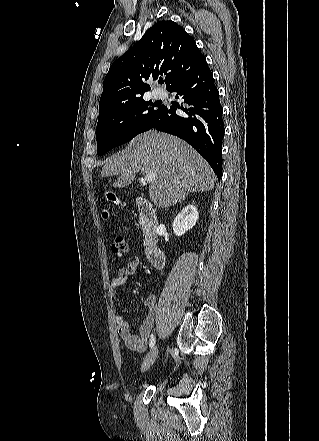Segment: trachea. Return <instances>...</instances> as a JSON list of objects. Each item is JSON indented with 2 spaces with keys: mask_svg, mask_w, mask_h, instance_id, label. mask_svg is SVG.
<instances>
[{
  "mask_svg": "<svg viewBox=\"0 0 319 441\" xmlns=\"http://www.w3.org/2000/svg\"><path fill=\"white\" fill-rule=\"evenodd\" d=\"M159 83H161V84H162V83H163V81L161 80V81H159Z\"/></svg>",
  "mask_w": 319,
  "mask_h": 441,
  "instance_id": "1",
  "label": "trachea"
}]
</instances>
